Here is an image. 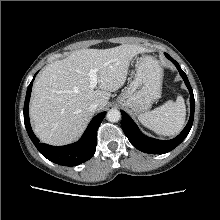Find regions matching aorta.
<instances>
[{
	"label": "aorta",
	"mask_w": 220,
	"mask_h": 220,
	"mask_svg": "<svg viewBox=\"0 0 220 220\" xmlns=\"http://www.w3.org/2000/svg\"><path fill=\"white\" fill-rule=\"evenodd\" d=\"M106 118L110 122H118L121 119V113L117 109H111L107 112Z\"/></svg>",
	"instance_id": "762f6f07"
}]
</instances>
